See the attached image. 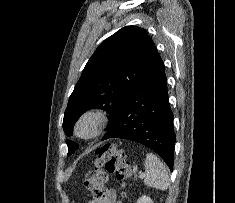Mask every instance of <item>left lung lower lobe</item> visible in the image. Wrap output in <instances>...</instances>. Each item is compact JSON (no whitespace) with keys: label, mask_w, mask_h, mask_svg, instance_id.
Segmentation results:
<instances>
[{"label":"left lung lower lobe","mask_w":235,"mask_h":203,"mask_svg":"<svg viewBox=\"0 0 235 203\" xmlns=\"http://www.w3.org/2000/svg\"><path fill=\"white\" fill-rule=\"evenodd\" d=\"M102 140L123 138L155 151L173 170L175 133L165 67L157 53Z\"/></svg>","instance_id":"left-lung-lower-lobe-1"}]
</instances>
